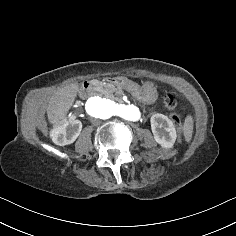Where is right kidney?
<instances>
[{
	"mask_svg": "<svg viewBox=\"0 0 236 236\" xmlns=\"http://www.w3.org/2000/svg\"><path fill=\"white\" fill-rule=\"evenodd\" d=\"M82 131V123L74 120L53 131V141L60 146L73 144Z\"/></svg>",
	"mask_w": 236,
	"mask_h": 236,
	"instance_id": "1",
	"label": "right kidney"
}]
</instances>
